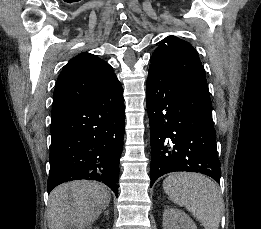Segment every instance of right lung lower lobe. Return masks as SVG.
<instances>
[{"mask_svg":"<svg viewBox=\"0 0 261 229\" xmlns=\"http://www.w3.org/2000/svg\"><path fill=\"white\" fill-rule=\"evenodd\" d=\"M123 91L117 77L51 121L47 189L72 180H96L118 196L124 137Z\"/></svg>","mask_w":261,"mask_h":229,"instance_id":"obj_1","label":"right lung lower lobe"}]
</instances>
